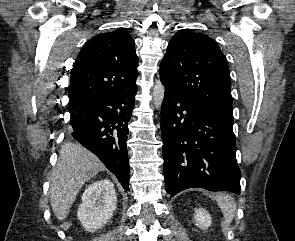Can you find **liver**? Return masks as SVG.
<instances>
[{
    "label": "liver",
    "mask_w": 295,
    "mask_h": 241,
    "mask_svg": "<svg viewBox=\"0 0 295 241\" xmlns=\"http://www.w3.org/2000/svg\"><path fill=\"white\" fill-rule=\"evenodd\" d=\"M103 170V163L81 145L68 142L61 147L50 179V203L58 220H65L85 182Z\"/></svg>",
    "instance_id": "liver-1"
}]
</instances>
